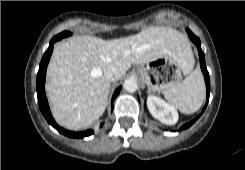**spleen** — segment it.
Segmentation results:
<instances>
[{"label":"spleen","mask_w":245,"mask_h":170,"mask_svg":"<svg viewBox=\"0 0 245 170\" xmlns=\"http://www.w3.org/2000/svg\"><path fill=\"white\" fill-rule=\"evenodd\" d=\"M189 56L192 57L191 50ZM193 60V57H192ZM167 101L184 114H193L200 109L205 99L204 78L195 69L182 81L164 92Z\"/></svg>","instance_id":"spleen-1"}]
</instances>
